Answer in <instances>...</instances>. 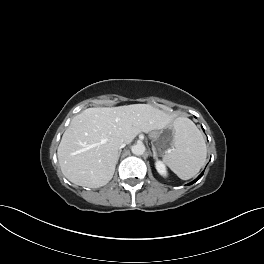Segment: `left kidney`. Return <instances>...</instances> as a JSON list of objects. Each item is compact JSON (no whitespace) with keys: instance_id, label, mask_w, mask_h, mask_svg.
<instances>
[{"instance_id":"1","label":"left kidney","mask_w":264,"mask_h":264,"mask_svg":"<svg viewBox=\"0 0 264 264\" xmlns=\"http://www.w3.org/2000/svg\"><path fill=\"white\" fill-rule=\"evenodd\" d=\"M155 167H156V170L158 171V173L162 176H166L167 175V171H166V166L165 164L160 161V160H157L156 163H155Z\"/></svg>"}]
</instances>
